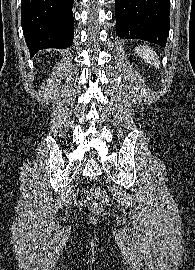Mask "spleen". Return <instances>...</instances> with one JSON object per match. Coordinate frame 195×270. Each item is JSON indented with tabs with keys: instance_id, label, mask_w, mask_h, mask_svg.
<instances>
[{
	"instance_id": "spleen-1",
	"label": "spleen",
	"mask_w": 195,
	"mask_h": 270,
	"mask_svg": "<svg viewBox=\"0 0 195 270\" xmlns=\"http://www.w3.org/2000/svg\"><path fill=\"white\" fill-rule=\"evenodd\" d=\"M136 53L139 57L143 58L144 61L149 63L152 66L159 67L160 61L159 57L157 56L156 52L147 47V46H138L135 49Z\"/></svg>"
}]
</instances>
